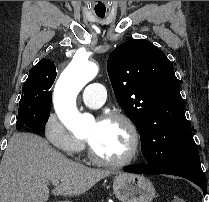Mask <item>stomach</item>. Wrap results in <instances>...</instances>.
I'll return each instance as SVG.
<instances>
[{"instance_id": "1", "label": "stomach", "mask_w": 209, "mask_h": 202, "mask_svg": "<svg viewBox=\"0 0 209 202\" xmlns=\"http://www.w3.org/2000/svg\"><path fill=\"white\" fill-rule=\"evenodd\" d=\"M115 196L121 202H151L155 188L144 176L122 173L113 182Z\"/></svg>"}]
</instances>
